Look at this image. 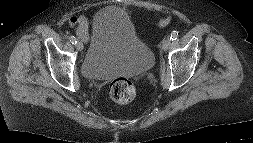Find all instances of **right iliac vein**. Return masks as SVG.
I'll use <instances>...</instances> for the list:
<instances>
[{
	"label": "right iliac vein",
	"instance_id": "right-iliac-vein-1",
	"mask_svg": "<svg viewBox=\"0 0 253 143\" xmlns=\"http://www.w3.org/2000/svg\"><path fill=\"white\" fill-rule=\"evenodd\" d=\"M75 46H76V48H77V50H79V51H81V50H83V43L82 42H80V41H77L76 43H75Z\"/></svg>",
	"mask_w": 253,
	"mask_h": 143
}]
</instances>
